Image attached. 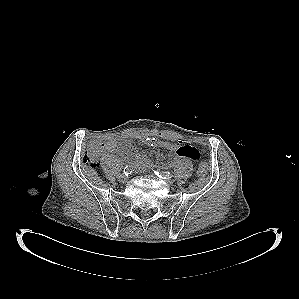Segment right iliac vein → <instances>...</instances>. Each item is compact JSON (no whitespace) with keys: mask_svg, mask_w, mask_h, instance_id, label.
<instances>
[{"mask_svg":"<svg viewBox=\"0 0 299 299\" xmlns=\"http://www.w3.org/2000/svg\"><path fill=\"white\" fill-rule=\"evenodd\" d=\"M119 181L122 182V183H126L128 181V176L126 175H121L119 177Z\"/></svg>","mask_w":299,"mask_h":299,"instance_id":"1","label":"right iliac vein"}]
</instances>
